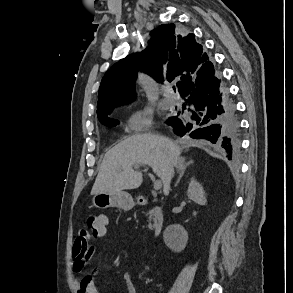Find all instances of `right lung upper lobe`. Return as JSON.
I'll return each mask as SVG.
<instances>
[{
  "label": "right lung upper lobe",
  "instance_id": "cb5924a9",
  "mask_svg": "<svg viewBox=\"0 0 293 293\" xmlns=\"http://www.w3.org/2000/svg\"><path fill=\"white\" fill-rule=\"evenodd\" d=\"M121 59L104 75L98 93L97 116L110 113L115 106L134 97L139 70L158 82L178 80L179 92L196 76L209 59L194 34L182 37L174 24H163L151 32L148 47Z\"/></svg>",
  "mask_w": 293,
  "mask_h": 293
}]
</instances>
